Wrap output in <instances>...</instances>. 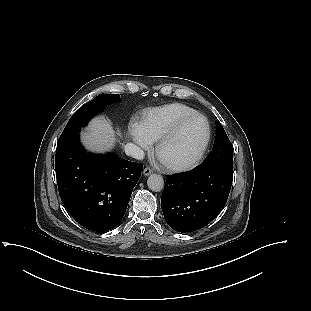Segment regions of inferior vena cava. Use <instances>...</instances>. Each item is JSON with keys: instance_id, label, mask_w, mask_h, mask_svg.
<instances>
[{"instance_id": "inferior-vena-cava-1", "label": "inferior vena cava", "mask_w": 311, "mask_h": 311, "mask_svg": "<svg viewBox=\"0 0 311 311\" xmlns=\"http://www.w3.org/2000/svg\"><path fill=\"white\" fill-rule=\"evenodd\" d=\"M124 151L126 155L131 156L137 160H142L145 156L144 151L133 143H127Z\"/></svg>"}]
</instances>
